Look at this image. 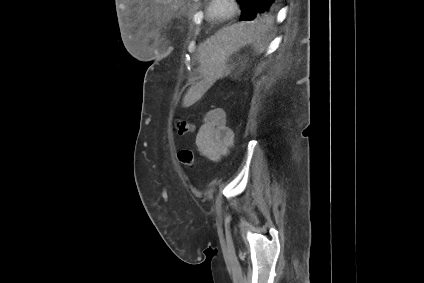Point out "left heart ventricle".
I'll return each instance as SVG.
<instances>
[{
	"mask_svg": "<svg viewBox=\"0 0 424 283\" xmlns=\"http://www.w3.org/2000/svg\"><path fill=\"white\" fill-rule=\"evenodd\" d=\"M227 5L226 4H224V3H221V4H219V5H217V7H216V12L217 13H225L226 11H227Z\"/></svg>",
	"mask_w": 424,
	"mask_h": 283,
	"instance_id": "b2bd125f",
	"label": "left heart ventricle"
}]
</instances>
